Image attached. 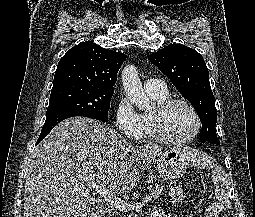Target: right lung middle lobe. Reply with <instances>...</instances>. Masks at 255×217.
I'll list each match as a JSON object with an SVG mask.
<instances>
[{
	"label": "right lung middle lobe",
	"instance_id": "obj_1",
	"mask_svg": "<svg viewBox=\"0 0 255 217\" xmlns=\"http://www.w3.org/2000/svg\"><path fill=\"white\" fill-rule=\"evenodd\" d=\"M113 93L114 90H101L81 85L55 87L52 88L46 115L56 111H70L107 121Z\"/></svg>",
	"mask_w": 255,
	"mask_h": 217
}]
</instances>
